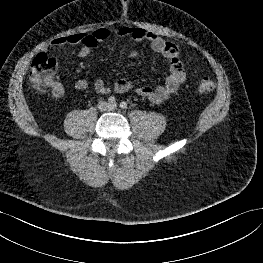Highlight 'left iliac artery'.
I'll return each mask as SVG.
<instances>
[{
  "label": "left iliac artery",
  "mask_w": 263,
  "mask_h": 263,
  "mask_svg": "<svg viewBox=\"0 0 263 263\" xmlns=\"http://www.w3.org/2000/svg\"><path fill=\"white\" fill-rule=\"evenodd\" d=\"M120 107L122 108V109H126L127 108V103L126 102H121L120 103Z\"/></svg>",
  "instance_id": "obj_1"
}]
</instances>
